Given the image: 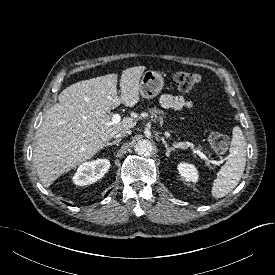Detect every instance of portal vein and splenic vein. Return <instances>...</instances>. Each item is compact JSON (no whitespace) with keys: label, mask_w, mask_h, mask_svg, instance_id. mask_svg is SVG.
I'll use <instances>...</instances> for the list:
<instances>
[{"label":"portal vein and splenic vein","mask_w":275,"mask_h":275,"mask_svg":"<svg viewBox=\"0 0 275 275\" xmlns=\"http://www.w3.org/2000/svg\"><path fill=\"white\" fill-rule=\"evenodd\" d=\"M121 121V116L120 114L118 113H115V114H112L111 115V123L112 124H117V123H120ZM193 152L196 153L198 156H200V158H202L203 160H206L207 161V157L205 154H203L200 150H197V149H194L193 148ZM212 164H215V165H220L222 162L221 161H216V160H213V161H210Z\"/></svg>","instance_id":"portal-vein-and-splenic-vein-1"}]
</instances>
